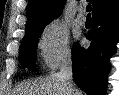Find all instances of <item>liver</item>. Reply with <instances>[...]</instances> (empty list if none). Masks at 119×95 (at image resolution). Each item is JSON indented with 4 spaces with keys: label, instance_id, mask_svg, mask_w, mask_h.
I'll use <instances>...</instances> for the list:
<instances>
[{
    "label": "liver",
    "instance_id": "1",
    "mask_svg": "<svg viewBox=\"0 0 119 95\" xmlns=\"http://www.w3.org/2000/svg\"><path fill=\"white\" fill-rule=\"evenodd\" d=\"M57 74L52 73L21 85L19 95H69L66 84ZM78 93V95H83L81 91Z\"/></svg>",
    "mask_w": 119,
    "mask_h": 95
}]
</instances>
